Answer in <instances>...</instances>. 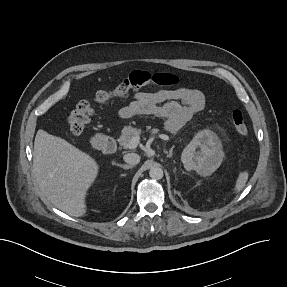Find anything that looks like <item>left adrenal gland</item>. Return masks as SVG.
Returning a JSON list of instances; mask_svg holds the SVG:
<instances>
[{
	"mask_svg": "<svg viewBox=\"0 0 287 287\" xmlns=\"http://www.w3.org/2000/svg\"><path fill=\"white\" fill-rule=\"evenodd\" d=\"M173 149H174V146L171 147V149L169 150V152H165V153H167V157H169V158L172 157V155H173Z\"/></svg>",
	"mask_w": 287,
	"mask_h": 287,
	"instance_id": "left-adrenal-gland-1",
	"label": "left adrenal gland"
}]
</instances>
